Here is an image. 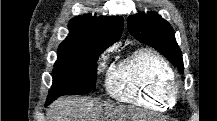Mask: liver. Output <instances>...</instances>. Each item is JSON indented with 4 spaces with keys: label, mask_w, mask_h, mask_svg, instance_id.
Wrapping results in <instances>:
<instances>
[{
    "label": "liver",
    "mask_w": 217,
    "mask_h": 121,
    "mask_svg": "<svg viewBox=\"0 0 217 121\" xmlns=\"http://www.w3.org/2000/svg\"><path fill=\"white\" fill-rule=\"evenodd\" d=\"M48 121H137L138 114L125 107L106 106L90 98L61 97L46 113Z\"/></svg>",
    "instance_id": "obj_1"
}]
</instances>
